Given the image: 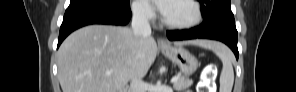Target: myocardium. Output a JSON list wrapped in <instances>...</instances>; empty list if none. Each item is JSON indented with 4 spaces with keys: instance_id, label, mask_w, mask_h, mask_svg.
<instances>
[{
    "instance_id": "obj_1",
    "label": "myocardium",
    "mask_w": 296,
    "mask_h": 92,
    "mask_svg": "<svg viewBox=\"0 0 296 92\" xmlns=\"http://www.w3.org/2000/svg\"><path fill=\"white\" fill-rule=\"evenodd\" d=\"M185 2H188L194 10V19L190 22L186 23H173L169 22L164 16L162 17V23L171 29H191L199 25L203 19V12L201 9V6L197 1L194 0H183Z\"/></svg>"
}]
</instances>
